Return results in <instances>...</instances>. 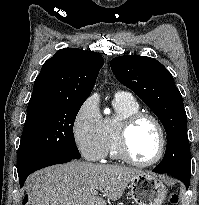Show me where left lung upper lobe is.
<instances>
[{
	"label": "left lung upper lobe",
	"mask_w": 199,
	"mask_h": 205,
	"mask_svg": "<svg viewBox=\"0 0 199 205\" xmlns=\"http://www.w3.org/2000/svg\"><path fill=\"white\" fill-rule=\"evenodd\" d=\"M110 66L116 78L142 99L165 128L167 149L154 171L190 180L187 115L171 73L156 59L140 55L116 57Z\"/></svg>",
	"instance_id": "1"
}]
</instances>
